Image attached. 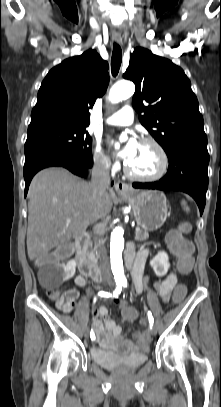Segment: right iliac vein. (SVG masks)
Listing matches in <instances>:
<instances>
[{
	"label": "right iliac vein",
	"mask_w": 221,
	"mask_h": 407,
	"mask_svg": "<svg viewBox=\"0 0 221 407\" xmlns=\"http://www.w3.org/2000/svg\"><path fill=\"white\" fill-rule=\"evenodd\" d=\"M84 336H85V338H88V336H89L88 330H85V331H84Z\"/></svg>",
	"instance_id": "63e3f726"
}]
</instances>
